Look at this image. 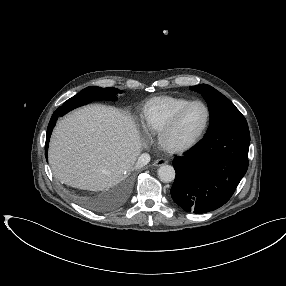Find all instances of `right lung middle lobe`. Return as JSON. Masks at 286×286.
Listing matches in <instances>:
<instances>
[{
	"instance_id": "right-lung-middle-lobe-1",
	"label": "right lung middle lobe",
	"mask_w": 286,
	"mask_h": 286,
	"mask_svg": "<svg viewBox=\"0 0 286 286\" xmlns=\"http://www.w3.org/2000/svg\"><path fill=\"white\" fill-rule=\"evenodd\" d=\"M116 88H101L90 86L83 89L80 93L76 94L72 98L68 99L62 107L58 108L57 111L60 115H64L72 109L79 106L88 104L94 100H116V94L119 93Z\"/></svg>"
}]
</instances>
